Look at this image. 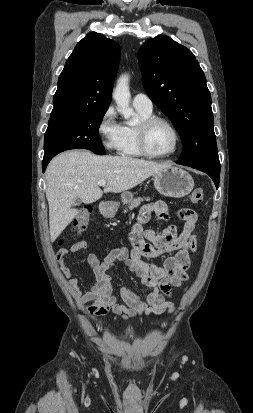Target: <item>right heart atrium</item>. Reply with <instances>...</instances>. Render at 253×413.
Wrapping results in <instances>:
<instances>
[{"label": "right heart atrium", "mask_w": 253, "mask_h": 413, "mask_svg": "<svg viewBox=\"0 0 253 413\" xmlns=\"http://www.w3.org/2000/svg\"><path fill=\"white\" fill-rule=\"evenodd\" d=\"M97 133L102 145L109 151H120L124 140V128L117 120V113L113 106H108L102 113Z\"/></svg>", "instance_id": "obj_1"}]
</instances>
